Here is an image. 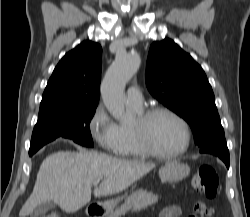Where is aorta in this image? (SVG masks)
<instances>
[{"label": "aorta", "mask_w": 250, "mask_h": 217, "mask_svg": "<svg viewBox=\"0 0 250 217\" xmlns=\"http://www.w3.org/2000/svg\"><path fill=\"white\" fill-rule=\"evenodd\" d=\"M141 60L136 53L118 54L107 70L101 83V96L109 113L123 123L131 120L125 111L124 89L140 66Z\"/></svg>", "instance_id": "1"}]
</instances>
